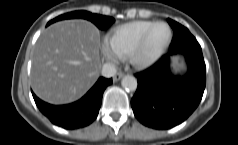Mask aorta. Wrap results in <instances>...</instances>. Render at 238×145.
<instances>
[{
	"mask_svg": "<svg viewBox=\"0 0 238 145\" xmlns=\"http://www.w3.org/2000/svg\"><path fill=\"white\" fill-rule=\"evenodd\" d=\"M121 85L128 91H135L137 89V80L131 75H125L121 80Z\"/></svg>",
	"mask_w": 238,
	"mask_h": 145,
	"instance_id": "1",
	"label": "aorta"
}]
</instances>
